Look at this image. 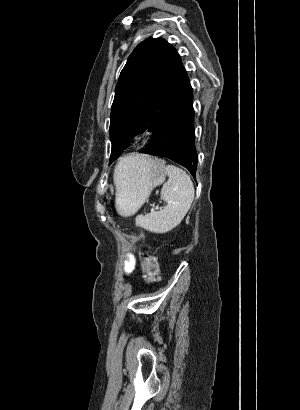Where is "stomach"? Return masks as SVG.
I'll return each instance as SVG.
<instances>
[{
    "label": "stomach",
    "mask_w": 300,
    "mask_h": 410,
    "mask_svg": "<svg viewBox=\"0 0 300 410\" xmlns=\"http://www.w3.org/2000/svg\"><path fill=\"white\" fill-rule=\"evenodd\" d=\"M132 162V167L120 173L119 188L116 192L115 206L122 216L134 214L149 197L151 191L161 185L166 178L165 162L145 156L144 160Z\"/></svg>",
    "instance_id": "stomach-1"
}]
</instances>
